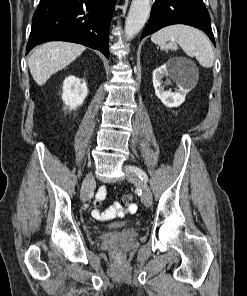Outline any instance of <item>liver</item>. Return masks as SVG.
<instances>
[{
  "label": "liver",
  "instance_id": "6515ba94",
  "mask_svg": "<svg viewBox=\"0 0 247 296\" xmlns=\"http://www.w3.org/2000/svg\"><path fill=\"white\" fill-rule=\"evenodd\" d=\"M85 46L53 41L41 45L30 55L28 66L34 81L42 86L46 81L59 70L63 69L80 56Z\"/></svg>",
  "mask_w": 247,
  "mask_h": 296
}]
</instances>
